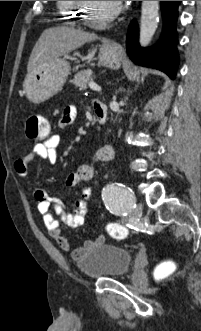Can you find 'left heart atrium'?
Wrapping results in <instances>:
<instances>
[{"mask_svg": "<svg viewBox=\"0 0 201 331\" xmlns=\"http://www.w3.org/2000/svg\"><path fill=\"white\" fill-rule=\"evenodd\" d=\"M122 1H113V3L118 6Z\"/></svg>", "mask_w": 201, "mask_h": 331, "instance_id": "obj_1", "label": "left heart atrium"}]
</instances>
